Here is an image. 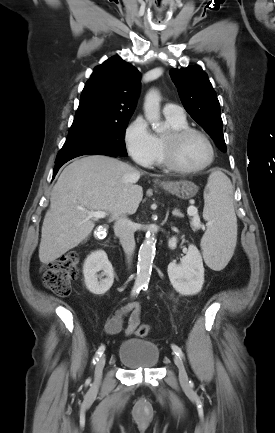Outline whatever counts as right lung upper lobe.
I'll return each instance as SVG.
<instances>
[{
    "label": "right lung upper lobe",
    "instance_id": "cb5924a9",
    "mask_svg": "<svg viewBox=\"0 0 275 433\" xmlns=\"http://www.w3.org/2000/svg\"><path fill=\"white\" fill-rule=\"evenodd\" d=\"M140 73L119 57L97 66L87 81L74 120H124L132 116L140 87Z\"/></svg>",
    "mask_w": 275,
    "mask_h": 433
}]
</instances>
